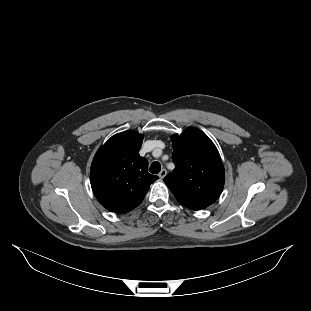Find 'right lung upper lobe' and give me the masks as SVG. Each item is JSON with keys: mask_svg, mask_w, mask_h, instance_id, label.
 Listing matches in <instances>:
<instances>
[{"mask_svg": "<svg viewBox=\"0 0 311 311\" xmlns=\"http://www.w3.org/2000/svg\"><path fill=\"white\" fill-rule=\"evenodd\" d=\"M143 135L127 130L111 137L93 158L90 181L99 203L124 214L137 207L158 177L148 173V161L139 155Z\"/></svg>", "mask_w": 311, "mask_h": 311, "instance_id": "obj_1", "label": "right lung upper lobe"}]
</instances>
